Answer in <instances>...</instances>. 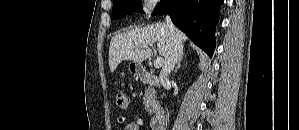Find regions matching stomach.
<instances>
[{
	"instance_id": "0dacf381",
	"label": "stomach",
	"mask_w": 299,
	"mask_h": 130,
	"mask_svg": "<svg viewBox=\"0 0 299 130\" xmlns=\"http://www.w3.org/2000/svg\"><path fill=\"white\" fill-rule=\"evenodd\" d=\"M128 70L132 74H139L142 70V64L140 62L131 61L128 65Z\"/></svg>"
}]
</instances>
